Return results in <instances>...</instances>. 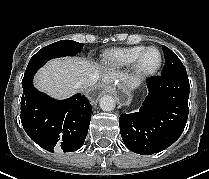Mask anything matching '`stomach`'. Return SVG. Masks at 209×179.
<instances>
[{
	"label": "stomach",
	"instance_id": "obj_1",
	"mask_svg": "<svg viewBox=\"0 0 209 179\" xmlns=\"http://www.w3.org/2000/svg\"><path fill=\"white\" fill-rule=\"evenodd\" d=\"M121 88H122L124 91L129 92V90H128L126 87L121 86Z\"/></svg>",
	"mask_w": 209,
	"mask_h": 179
}]
</instances>
